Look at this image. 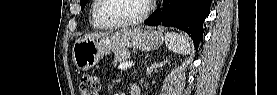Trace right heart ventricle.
<instances>
[{"label":"right heart ventricle","mask_w":277,"mask_h":95,"mask_svg":"<svg viewBox=\"0 0 277 95\" xmlns=\"http://www.w3.org/2000/svg\"><path fill=\"white\" fill-rule=\"evenodd\" d=\"M100 0H94L93 4H92V8H91V12L93 13L95 7L99 4ZM91 24L94 28L96 29H102L104 28V25H102L100 22H98L97 20H95L93 14H92V18H91Z\"/></svg>","instance_id":"e07e8e85"}]
</instances>
